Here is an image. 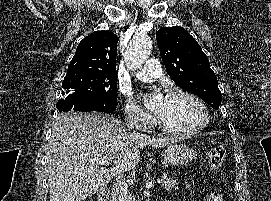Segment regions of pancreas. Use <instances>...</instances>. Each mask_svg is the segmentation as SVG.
<instances>
[{
    "instance_id": "obj_1",
    "label": "pancreas",
    "mask_w": 271,
    "mask_h": 201,
    "mask_svg": "<svg viewBox=\"0 0 271 201\" xmlns=\"http://www.w3.org/2000/svg\"><path fill=\"white\" fill-rule=\"evenodd\" d=\"M162 187L167 191H171L172 189H177V182L164 176L162 179Z\"/></svg>"
}]
</instances>
